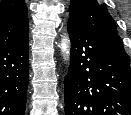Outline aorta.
<instances>
[{"label":"aorta","mask_w":131,"mask_h":115,"mask_svg":"<svg viewBox=\"0 0 131 115\" xmlns=\"http://www.w3.org/2000/svg\"><path fill=\"white\" fill-rule=\"evenodd\" d=\"M61 50L64 54H68V45H67V39L63 38L62 42H61Z\"/></svg>","instance_id":"1"}]
</instances>
